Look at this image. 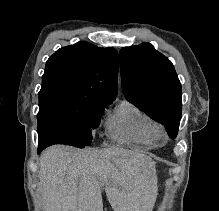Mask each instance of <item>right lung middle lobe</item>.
Masks as SVG:
<instances>
[{"label":"right lung middle lobe","instance_id":"obj_1","mask_svg":"<svg viewBox=\"0 0 219 211\" xmlns=\"http://www.w3.org/2000/svg\"><path fill=\"white\" fill-rule=\"evenodd\" d=\"M109 104L59 94L39 96V141L78 148L89 146L92 129L98 127Z\"/></svg>","mask_w":219,"mask_h":211}]
</instances>
